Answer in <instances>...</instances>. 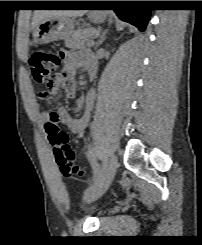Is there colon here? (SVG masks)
<instances>
[{"mask_svg":"<svg viewBox=\"0 0 202 245\" xmlns=\"http://www.w3.org/2000/svg\"><path fill=\"white\" fill-rule=\"evenodd\" d=\"M61 56L52 51H37L30 57V71L35 84L43 86L41 97L45 101L52 100L58 93V80L66 74L58 76L56 71L60 65ZM58 116L51 114L44 123V129L48 134L53 147V153L57 165L65 177H81L84 170L77 163L74 151L68 146V136L58 125Z\"/></svg>","mask_w":202,"mask_h":245,"instance_id":"obj_1","label":"colon"}]
</instances>
